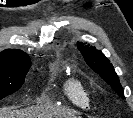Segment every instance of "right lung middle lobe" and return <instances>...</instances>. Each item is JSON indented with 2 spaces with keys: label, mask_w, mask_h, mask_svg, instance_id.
Returning <instances> with one entry per match:
<instances>
[{
  "label": "right lung middle lobe",
  "mask_w": 133,
  "mask_h": 118,
  "mask_svg": "<svg viewBox=\"0 0 133 118\" xmlns=\"http://www.w3.org/2000/svg\"><path fill=\"white\" fill-rule=\"evenodd\" d=\"M30 65L15 68H0V100L17 90L24 83Z\"/></svg>",
  "instance_id": "obj_1"
}]
</instances>
